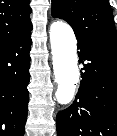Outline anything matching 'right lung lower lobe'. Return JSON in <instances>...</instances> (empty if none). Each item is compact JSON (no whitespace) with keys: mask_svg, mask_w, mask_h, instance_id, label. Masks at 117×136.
<instances>
[{"mask_svg":"<svg viewBox=\"0 0 117 136\" xmlns=\"http://www.w3.org/2000/svg\"><path fill=\"white\" fill-rule=\"evenodd\" d=\"M31 30L0 44V136H23L25 131Z\"/></svg>","mask_w":117,"mask_h":136,"instance_id":"obj_1","label":"right lung lower lobe"}]
</instances>
